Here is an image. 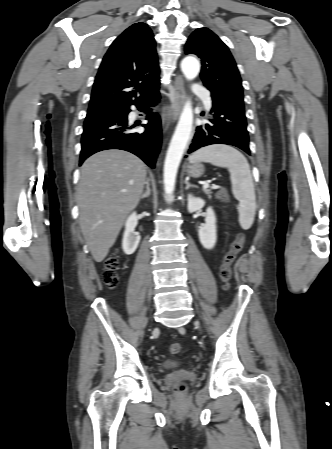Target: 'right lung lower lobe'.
I'll return each mask as SVG.
<instances>
[{"instance_id":"right-lung-lower-lobe-1","label":"right lung lower lobe","mask_w":332,"mask_h":449,"mask_svg":"<svg viewBox=\"0 0 332 449\" xmlns=\"http://www.w3.org/2000/svg\"><path fill=\"white\" fill-rule=\"evenodd\" d=\"M159 92L155 91L148 98L136 101L117 111H109L86 118L81 139L80 165L92 154L107 150L121 149L140 157L151 168L155 167L161 146V120L157 113H152L145 106H154L159 101ZM136 105L141 111L147 110V124L143 133L133 132L134 126L128 125L127 116L130 106Z\"/></svg>"}]
</instances>
